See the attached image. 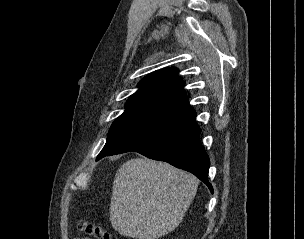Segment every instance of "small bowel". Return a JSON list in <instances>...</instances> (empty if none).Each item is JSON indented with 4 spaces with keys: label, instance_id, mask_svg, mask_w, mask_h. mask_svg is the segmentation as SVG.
Masks as SVG:
<instances>
[{
    "label": "small bowel",
    "instance_id": "obj_1",
    "mask_svg": "<svg viewBox=\"0 0 304 239\" xmlns=\"http://www.w3.org/2000/svg\"><path fill=\"white\" fill-rule=\"evenodd\" d=\"M74 239H89L87 237H82V238H74Z\"/></svg>",
    "mask_w": 304,
    "mask_h": 239
}]
</instances>
